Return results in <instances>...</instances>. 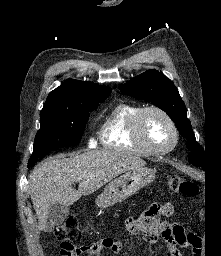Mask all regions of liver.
Masks as SVG:
<instances>
[{
	"instance_id": "6515ba94",
	"label": "liver",
	"mask_w": 221,
	"mask_h": 256,
	"mask_svg": "<svg viewBox=\"0 0 221 256\" xmlns=\"http://www.w3.org/2000/svg\"><path fill=\"white\" fill-rule=\"evenodd\" d=\"M139 157L116 149H101L83 154L46 159L29 176L30 195L36 211L39 230L47 225L54 204L70 206L82 195H89L120 174L144 167ZM78 182V190L72 184Z\"/></svg>"
}]
</instances>
